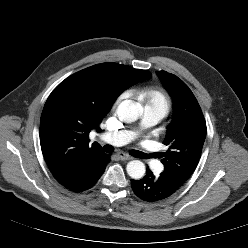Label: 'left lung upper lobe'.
<instances>
[{
	"mask_svg": "<svg viewBox=\"0 0 248 248\" xmlns=\"http://www.w3.org/2000/svg\"><path fill=\"white\" fill-rule=\"evenodd\" d=\"M157 74L174 104L173 118L164 140L169 149L161 160L165 166L161 176L177 191L198 165L206 137V122L196 98L183 81L166 71Z\"/></svg>",
	"mask_w": 248,
	"mask_h": 248,
	"instance_id": "1",
	"label": "left lung upper lobe"
}]
</instances>
